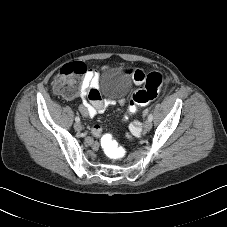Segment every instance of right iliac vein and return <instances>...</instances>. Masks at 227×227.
<instances>
[{
    "mask_svg": "<svg viewBox=\"0 0 227 227\" xmlns=\"http://www.w3.org/2000/svg\"><path fill=\"white\" fill-rule=\"evenodd\" d=\"M74 129L77 131V132H80L82 130V126L79 122L75 123L74 124Z\"/></svg>",
    "mask_w": 227,
    "mask_h": 227,
    "instance_id": "63e3f726",
    "label": "right iliac vein"
}]
</instances>
